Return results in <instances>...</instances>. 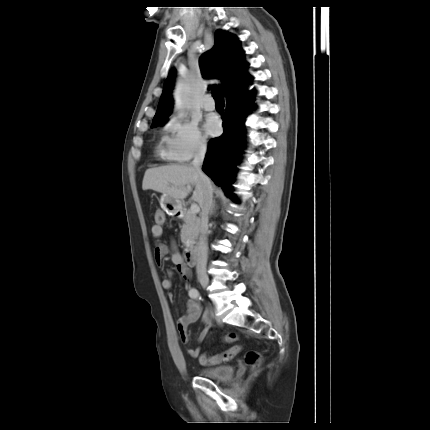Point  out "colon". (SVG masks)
I'll return each mask as SVG.
<instances>
[{"instance_id": "colon-1", "label": "colon", "mask_w": 430, "mask_h": 430, "mask_svg": "<svg viewBox=\"0 0 430 430\" xmlns=\"http://www.w3.org/2000/svg\"><path fill=\"white\" fill-rule=\"evenodd\" d=\"M154 220L156 222V225H162L165 220V215L161 210H157L154 213ZM238 336L237 334L233 332H229L224 336V342L225 343H233L237 340ZM239 351L238 346H234L227 351L216 354L213 356H208L206 354H203L200 356V363L205 366H214L221 364L222 362L228 361L232 359ZM261 358L260 355L256 352H250L246 357V362L250 366L251 369H255L260 364Z\"/></svg>"}]
</instances>
